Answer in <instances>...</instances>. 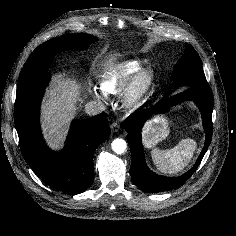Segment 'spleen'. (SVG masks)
Masks as SVG:
<instances>
[{
    "mask_svg": "<svg viewBox=\"0 0 236 236\" xmlns=\"http://www.w3.org/2000/svg\"><path fill=\"white\" fill-rule=\"evenodd\" d=\"M196 150L193 139H182L178 145L171 149L151 151V157L157 170L163 174H177L188 166Z\"/></svg>",
    "mask_w": 236,
    "mask_h": 236,
    "instance_id": "1",
    "label": "spleen"
}]
</instances>
